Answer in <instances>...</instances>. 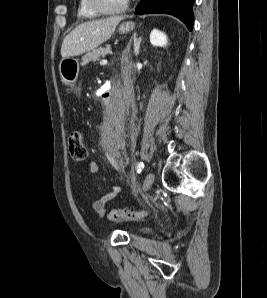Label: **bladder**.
<instances>
[{"instance_id": "bladder-1", "label": "bladder", "mask_w": 267, "mask_h": 298, "mask_svg": "<svg viewBox=\"0 0 267 298\" xmlns=\"http://www.w3.org/2000/svg\"><path fill=\"white\" fill-rule=\"evenodd\" d=\"M142 234H147L149 233V230L148 229H140L139 230Z\"/></svg>"}]
</instances>
